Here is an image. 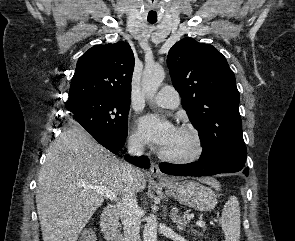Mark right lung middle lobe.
Here are the masks:
<instances>
[{"mask_svg": "<svg viewBox=\"0 0 295 241\" xmlns=\"http://www.w3.org/2000/svg\"><path fill=\"white\" fill-rule=\"evenodd\" d=\"M66 108L85 130L104 132L116 138L127 137L130 101L88 100Z\"/></svg>", "mask_w": 295, "mask_h": 241, "instance_id": "obj_1", "label": "right lung middle lobe"}]
</instances>
